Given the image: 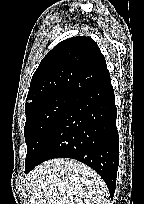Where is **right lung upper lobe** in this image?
Here are the masks:
<instances>
[{
  "instance_id": "right-lung-upper-lobe-1",
  "label": "right lung upper lobe",
  "mask_w": 144,
  "mask_h": 204,
  "mask_svg": "<svg viewBox=\"0 0 144 204\" xmlns=\"http://www.w3.org/2000/svg\"><path fill=\"white\" fill-rule=\"evenodd\" d=\"M109 77L105 58L91 37L69 38L41 61L32 77L25 109L57 94L77 95Z\"/></svg>"
}]
</instances>
